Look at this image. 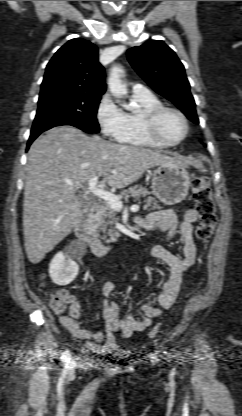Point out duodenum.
<instances>
[{
  "label": "duodenum",
  "mask_w": 242,
  "mask_h": 416,
  "mask_svg": "<svg viewBox=\"0 0 242 416\" xmlns=\"http://www.w3.org/2000/svg\"><path fill=\"white\" fill-rule=\"evenodd\" d=\"M96 209L97 204L90 202L85 212L78 219L75 232L77 237L90 248L94 255L104 257L111 251L112 243L102 241L92 230L90 216Z\"/></svg>",
  "instance_id": "1"
}]
</instances>
